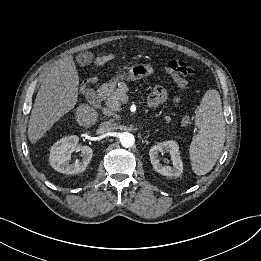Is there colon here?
Here are the masks:
<instances>
[{
    "label": "colon",
    "mask_w": 261,
    "mask_h": 261,
    "mask_svg": "<svg viewBox=\"0 0 261 261\" xmlns=\"http://www.w3.org/2000/svg\"><path fill=\"white\" fill-rule=\"evenodd\" d=\"M99 60L102 62H109L111 60V54L106 53L99 57ZM168 70L177 80L183 81L186 77L191 76L194 71L191 67L187 66L181 61H171L168 64Z\"/></svg>",
    "instance_id": "colon-1"
}]
</instances>
